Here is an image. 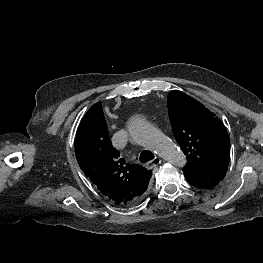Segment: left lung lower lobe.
Masks as SVG:
<instances>
[{"label":"left lung lower lobe","instance_id":"obj_1","mask_svg":"<svg viewBox=\"0 0 263 263\" xmlns=\"http://www.w3.org/2000/svg\"><path fill=\"white\" fill-rule=\"evenodd\" d=\"M184 176L189 184L199 189H210L216 186L226 175L224 169H193L183 168Z\"/></svg>","mask_w":263,"mask_h":263}]
</instances>
